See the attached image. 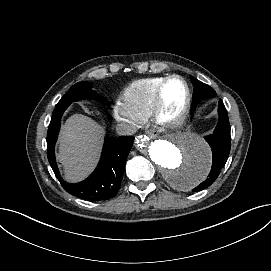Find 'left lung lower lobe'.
Returning <instances> with one entry per match:
<instances>
[{
	"label": "left lung lower lobe",
	"instance_id": "left-lung-lower-lobe-1",
	"mask_svg": "<svg viewBox=\"0 0 271 271\" xmlns=\"http://www.w3.org/2000/svg\"><path fill=\"white\" fill-rule=\"evenodd\" d=\"M194 109H192V113ZM218 112L219 122L216 129L212 135L204 137L212 150L213 161L211 171L208 175V178L196 188H194L193 191H201L206 189L217 179L222 167L226 164L230 153V124L227 110L221 99H219Z\"/></svg>",
	"mask_w": 271,
	"mask_h": 271
}]
</instances>
